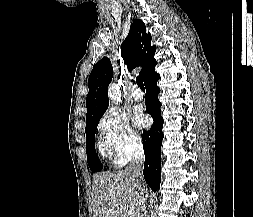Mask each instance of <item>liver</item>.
Segmentation results:
<instances>
[{
  "mask_svg": "<svg viewBox=\"0 0 253 217\" xmlns=\"http://www.w3.org/2000/svg\"><path fill=\"white\" fill-rule=\"evenodd\" d=\"M133 178L126 170L95 175L92 182L93 217H138Z\"/></svg>",
  "mask_w": 253,
  "mask_h": 217,
  "instance_id": "1",
  "label": "liver"
}]
</instances>
